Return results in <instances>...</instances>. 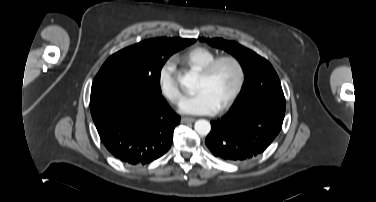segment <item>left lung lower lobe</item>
<instances>
[{
	"mask_svg": "<svg viewBox=\"0 0 376 202\" xmlns=\"http://www.w3.org/2000/svg\"><path fill=\"white\" fill-rule=\"evenodd\" d=\"M285 111L256 103L241 110H230L212 121L205 144L224 161L241 162L261 154L279 134Z\"/></svg>",
	"mask_w": 376,
	"mask_h": 202,
	"instance_id": "obj_1",
	"label": "left lung lower lobe"
}]
</instances>
